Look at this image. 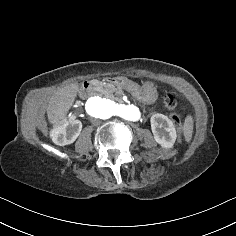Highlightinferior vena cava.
<instances>
[{"label":"inferior vena cava","instance_id":"obj_1","mask_svg":"<svg viewBox=\"0 0 236 236\" xmlns=\"http://www.w3.org/2000/svg\"><path fill=\"white\" fill-rule=\"evenodd\" d=\"M89 120L92 122L93 126H95V127H98V126H100V124H101V121L98 120L97 118L93 119V118L91 117Z\"/></svg>","mask_w":236,"mask_h":236}]
</instances>
